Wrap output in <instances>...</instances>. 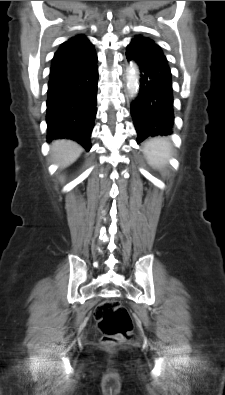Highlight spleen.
Returning <instances> with one entry per match:
<instances>
[{"mask_svg": "<svg viewBox=\"0 0 225 395\" xmlns=\"http://www.w3.org/2000/svg\"><path fill=\"white\" fill-rule=\"evenodd\" d=\"M148 163L154 168H162L172 154V144L167 138H153L146 142L143 150Z\"/></svg>", "mask_w": 225, "mask_h": 395, "instance_id": "spleen-1", "label": "spleen"}]
</instances>
